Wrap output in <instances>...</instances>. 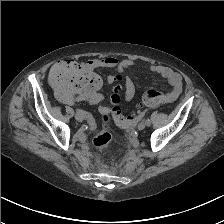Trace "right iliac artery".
<instances>
[{
	"mask_svg": "<svg viewBox=\"0 0 224 224\" xmlns=\"http://www.w3.org/2000/svg\"><path fill=\"white\" fill-rule=\"evenodd\" d=\"M76 113L82 115L83 118H86V119H90V118H91V116H90L87 112L82 111V110H80V109H76Z\"/></svg>",
	"mask_w": 224,
	"mask_h": 224,
	"instance_id": "right-iliac-artery-1",
	"label": "right iliac artery"
}]
</instances>
